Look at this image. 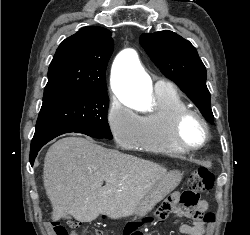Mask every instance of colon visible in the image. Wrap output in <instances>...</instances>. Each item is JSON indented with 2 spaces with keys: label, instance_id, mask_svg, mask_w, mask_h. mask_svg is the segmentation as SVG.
Wrapping results in <instances>:
<instances>
[{
  "label": "colon",
  "instance_id": "5ec220e1",
  "mask_svg": "<svg viewBox=\"0 0 250 235\" xmlns=\"http://www.w3.org/2000/svg\"><path fill=\"white\" fill-rule=\"evenodd\" d=\"M214 184V175L207 168L201 167L195 170L188 177L186 182V189L181 195V203L188 208H195L199 203L200 194L212 189ZM161 209V208H160ZM160 209L149 220H158ZM193 217L197 216L195 211L191 212ZM202 219L205 222H213L214 214L208 212L203 215ZM52 226L56 235H72L68 229L58 221L52 222ZM78 223L76 221H69L70 228H76Z\"/></svg>",
  "mask_w": 250,
  "mask_h": 235
}]
</instances>
